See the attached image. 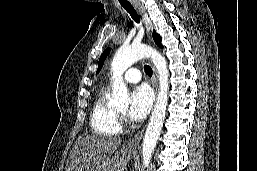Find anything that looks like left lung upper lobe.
Listing matches in <instances>:
<instances>
[{"label": "left lung upper lobe", "mask_w": 257, "mask_h": 171, "mask_svg": "<svg viewBox=\"0 0 257 171\" xmlns=\"http://www.w3.org/2000/svg\"><path fill=\"white\" fill-rule=\"evenodd\" d=\"M153 39H154L155 43H156L159 47L163 48V45L161 44V37H160V35L157 34L155 31H153ZM109 51H110V49L107 48V49L102 53V55L100 56L99 63H98V69H97L96 74H98L99 71L101 70V68H102V66H103V63H104V60L106 59V57H107Z\"/></svg>", "instance_id": "obj_1"}]
</instances>
